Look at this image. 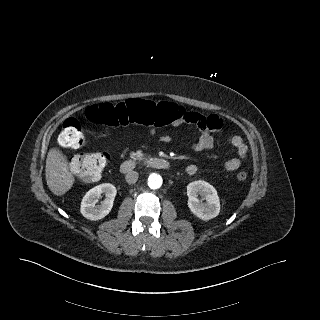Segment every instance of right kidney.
Listing matches in <instances>:
<instances>
[{
    "mask_svg": "<svg viewBox=\"0 0 320 320\" xmlns=\"http://www.w3.org/2000/svg\"><path fill=\"white\" fill-rule=\"evenodd\" d=\"M116 193L115 186L110 183L100 184L90 189L82 199L81 214L91 221L104 218L113 207ZM102 194H105L106 198L100 204H97Z\"/></svg>",
    "mask_w": 320,
    "mask_h": 320,
    "instance_id": "1",
    "label": "right kidney"
}]
</instances>
